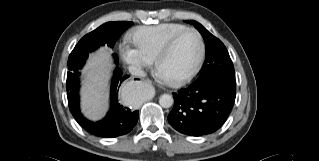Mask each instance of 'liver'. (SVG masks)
<instances>
[{
    "mask_svg": "<svg viewBox=\"0 0 319 161\" xmlns=\"http://www.w3.org/2000/svg\"><path fill=\"white\" fill-rule=\"evenodd\" d=\"M110 55V50L100 48L90 56L83 71L82 111L91 120L101 119L108 109V80L112 68Z\"/></svg>",
    "mask_w": 319,
    "mask_h": 161,
    "instance_id": "6515ba94",
    "label": "liver"
}]
</instances>
